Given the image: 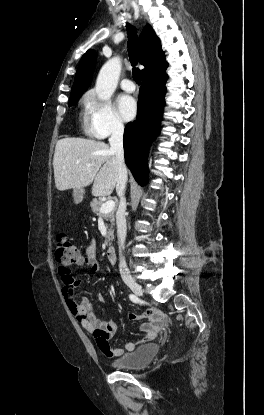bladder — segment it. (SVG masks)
I'll return each instance as SVG.
<instances>
[{
  "mask_svg": "<svg viewBox=\"0 0 264 415\" xmlns=\"http://www.w3.org/2000/svg\"><path fill=\"white\" fill-rule=\"evenodd\" d=\"M159 350L158 344L142 345L134 351L113 360L111 365L120 369H141L153 361Z\"/></svg>",
  "mask_w": 264,
  "mask_h": 415,
  "instance_id": "31cf9c89",
  "label": "bladder"
}]
</instances>
